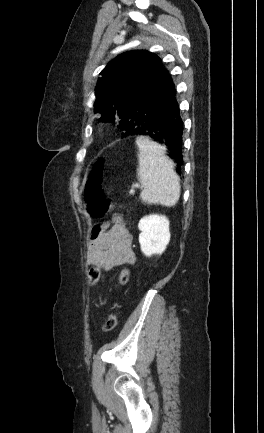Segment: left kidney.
Masks as SVG:
<instances>
[{
  "mask_svg": "<svg viewBox=\"0 0 264 433\" xmlns=\"http://www.w3.org/2000/svg\"><path fill=\"white\" fill-rule=\"evenodd\" d=\"M140 248L143 254L151 257L162 254L170 241L169 221L166 216L152 214L143 217L138 224Z\"/></svg>",
  "mask_w": 264,
  "mask_h": 433,
  "instance_id": "1",
  "label": "left kidney"
}]
</instances>
